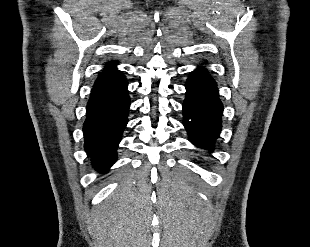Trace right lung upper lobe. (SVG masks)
Returning <instances> with one entry per match:
<instances>
[{
    "instance_id": "cb5924a9",
    "label": "right lung upper lobe",
    "mask_w": 310,
    "mask_h": 247,
    "mask_svg": "<svg viewBox=\"0 0 310 247\" xmlns=\"http://www.w3.org/2000/svg\"><path fill=\"white\" fill-rule=\"evenodd\" d=\"M116 64L117 62H109L105 70L97 78L94 86L125 81L123 73L116 69Z\"/></svg>"
}]
</instances>
